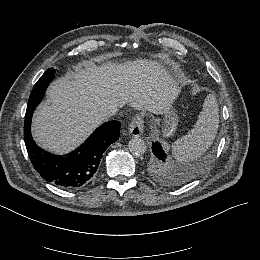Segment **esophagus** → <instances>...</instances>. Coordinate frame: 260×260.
Masks as SVG:
<instances>
[{
    "mask_svg": "<svg viewBox=\"0 0 260 260\" xmlns=\"http://www.w3.org/2000/svg\"><path fill=\"white\" fill-rule=\"evenodd\" d=\"M128 131L131 136H141L144 132L143 118L141 116L134 117L132 122L129 124Z\"/></svg>",
    "mask_w": 260,
    "mask_h": 260,
    "instance_id": "34e87169",
    "label": "esophagus"
}]
</instances>
